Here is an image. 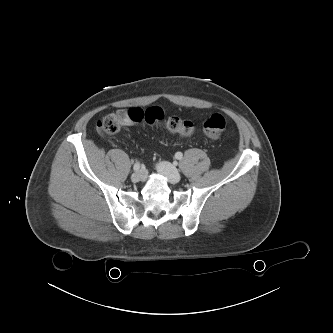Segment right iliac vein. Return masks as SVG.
Returning <instances> with one entry per match:
<instances>
[{
    "mask_svg": "<svg viewBox=\"0 0 333 333\" xmlns=\"http://www.w3.org/2000/svg\"><path fill=\"white\" fill-rule=\"evenodd\" d=\"M143 178H144V174L141 171H136L131 175V180L134 183L141 181Z\"/></svg>",
    "mask_w": 333,
    "mask_h": 333,
    "instance_id": "obj_1",
    "label": "right iliac vein"
}]
</instances>
